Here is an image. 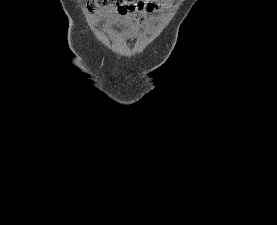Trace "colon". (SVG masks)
I'll return each instance as SVG.
<instances>
[{
    "instance_id": "colon-1",
    "label": "colon",
    "mask_w": 277,
    "mask_h": 225,
    "mask_svg": "<svg viewBox=\"0 0 277 225\" xmlns=\"http://www.w3.org/2000/svg\"><path fill=\"white\" fill-rule=\"evenodd\" d=\"M86 5L89 9L111 8L122 15L131 14L143 8L139 0H86Z\"/></svg>"
}]
</instances>
